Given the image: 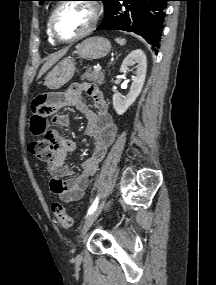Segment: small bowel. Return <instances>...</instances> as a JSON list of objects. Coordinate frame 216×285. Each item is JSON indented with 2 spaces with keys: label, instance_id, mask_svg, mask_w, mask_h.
<instances>
[{
  "label": "small bowel",
  "instance_id": "c3829d8e",
  "mask_svg": "<svg viewBox=\"0 0 216 285\" xmlns=\"http://www.w3.org/2000/svg\"><path fill=\"white\" fill-rule=\"evenodd\" d=\"M84 96L92 100L95 110L86 106ZM68 106L76 107L84 113L87 120L84 133L94 141L92 155L82 162V173L74 179H67L72 171L65 163L69 154L76 150V143L64 137L59 131L48 128L50 115L59 127L69 124L70 118L67 114H53V110ZM30 127L34 136H39V141L52 144L54 147V158L46 166L50 174L51 192L65 202L79 200L88 187L89 178L96 173L98 164L106 156L117 132L101 91L91 83H76L66 91L51 95L47 99H35L32 103Z\"/></svg>",
  "mask_w": 216,
  "mask_h": 285
}]
</instances>
